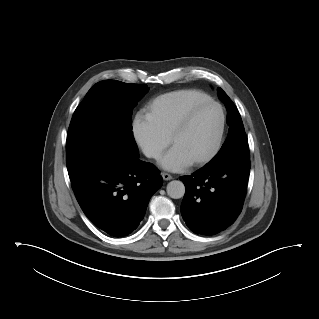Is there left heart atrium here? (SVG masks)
Segmentation results:
<instances>
[{
    "label": "left heart atrium",
    "mask_w": 319,
    "mask_h": 319,
    "mask_svg": "<svg viewBox=\"0 0 319 319\" xmlns=\"http://www.w3.org/2000/svg\"><path fill=\"white\" fill-rule=\"evenodd\" d=\"M160 165L169 171L178 172L191 165V161L186 159L175 148H171L160 160Z\"/></svg>",
    "instance_id": "1"
}]
</instances>
